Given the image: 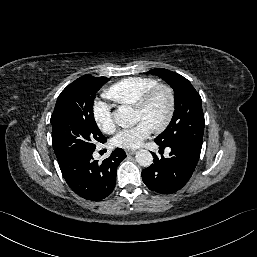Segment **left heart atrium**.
Returning a JSON list of instances; mask_svg holds the SVG:
<instances>
[{
  "label": "left heart atrium",
  "instance_id": "obj_1",
  "mask_svg": "<svg viewBox=\"0 0 257 257\" xmlns=\"http://www.w3.org/2000/svg\"><path fill=\"white\" fill-rule=\"evenodd\" d=\"M151 127L144 121L136 126L121 130L112 140L113 145L124 149H135L148 138Z\"/></svg>",
  "mask_w": 257,
  "mask_h": 257
}]
</instances>
